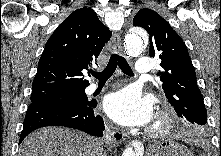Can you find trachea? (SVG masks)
Returning <instances> with one entry per match:
<instances>
[{"label": "trachea", "instance_id": "1", "mask_svg": "<svg viewBox=\"0 0 221 156\" xmlns=\"http://www.w3.org/2000/svg\"><path fill=\"white\" fill-rule=\"evenodd\" d=\"M117 66H119L122 72L125 73L126 75L134 76V73L131 67L129 66L128 62L125 60L124 57L118 54L111 55L110 60L103 71L92 72V75L95 78H97L99 81H106L113 75Z\"/></svg>", "mask_w": 221, "mask_h": 156}]
</instances>
